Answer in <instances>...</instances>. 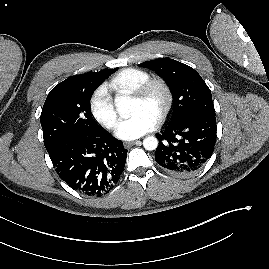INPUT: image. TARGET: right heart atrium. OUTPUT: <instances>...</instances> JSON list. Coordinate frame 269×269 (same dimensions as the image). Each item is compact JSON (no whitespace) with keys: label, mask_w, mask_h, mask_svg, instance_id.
<instances>
[{"label":"right heart atrium","mask_w":269,"mask_h":269,"mask_svg":"<svg viewBox=\"0 0 269 269\" xmlns=\"http://www.w3.org/2000/svg\"><path fill=\"white\" fill-rule=\"evenodd\" d=\"M89 107L93 117L104 127L113 130L118 124V114L106 85H99L91 94Z\"/></svg>","instance_id":"d8ad5b80"}]
</instances>
